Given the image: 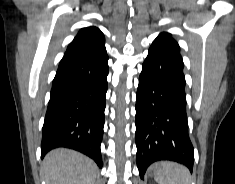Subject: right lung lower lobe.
<instances>
[{"mask_svg": "<svg viewBox=\"0 0 235 184\" xmlns=\"http://www.w3.org/2000/svg\"><path fill=\"white\" fill-rule=\"evenodd\" d=\"M108 56L63 57L52 82L42 129L41 157L66 147L102 167L100 144L106 105Z\"/></svg>", "mask_w": 235, "mask_h": 184, "instance_id": "98d812e1", "label": "right lung lower lobe"}]
</instances>
